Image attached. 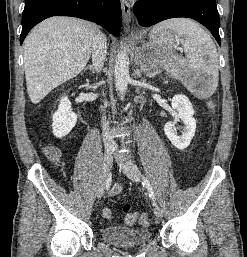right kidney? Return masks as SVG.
<instances>
[{
  "instance_id": "ca27d5eb",
  "label": "right kidney",
  "mask_w": 247,
  "mask_h": 257,
  "mask_svg": "<svg viewBox=\"0 0 247 257\" xmlns=\"http://www.w3.org/2000/svg\"><path fill=\"white\" fill-rule=\"evenodd\" d=\"M53 134L57 138H63L69 134L77 122V115L71 111V102L65 96L62 97L58 110L52 116Z\"/></svg>"
}]
</instances>
